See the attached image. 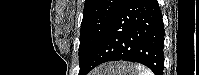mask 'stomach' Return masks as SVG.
I'll use <instances>...</instances> for the list:
<instances>
[{
  "label": "stomach",
  "instance_id": "stomach-1",
  "mask_svg": "<svg viewBox=\"0 0 199 75\" xmlns=\"http://www.w3.org/2000/svg\"><path fill=\"white\" fill-rule=\"evenodd\" d=\"M133 74H134V66L130 63H125V62L106 64L100 68V71L95 73V75H133Z\"/></svg>",
  "mask_w": 199,
  "mask_h": 75
}]
</instances>
